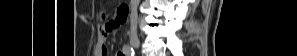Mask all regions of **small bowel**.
Listing matches in <instances>:
<instances>
[{"mask_svg": "<svg viewBox=\"0 0 297 56\" xmlns=\"http://www.w3.org/2000/svg\"><path fill=\"white\" fill-rule=\"evenodd\" d=\"M126 16V10L124 8H120L113 19L105 21L104 24L100 27L98 40L94 51L95 56L108 55V47L106 44L107 37L112 30L116 29L122 22L125 21ZM123 53H119V56L126 55L125 53Z\"/></svg>", "mask_w": 297, "mask_h": 56, "instance_id": "small-bowel-1", "label": "small bowel"}]
</instances>
